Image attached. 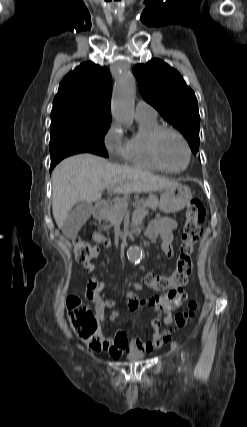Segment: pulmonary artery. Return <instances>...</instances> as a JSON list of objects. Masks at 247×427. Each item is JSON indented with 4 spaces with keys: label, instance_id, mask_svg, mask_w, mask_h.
<instances>
[{
    "label": "pulmonary artery",
    "instance_id": "e3ab8cb5",
    "mask_svg": "<svg viewBox=\"0 0 247 427\" xmlns=\"http://www.w3.org/2000/svg\"><path fill=\"white\" fill-rule=\"evenodd\" d=\"M135 116L137 118H140V117H156L157 112L154 109V107H152L149 103H147L143 100H140L136 104Z\"/></svg>",
    "mask_w": 247,
    "mask_h": 427
}]
</instances>
